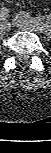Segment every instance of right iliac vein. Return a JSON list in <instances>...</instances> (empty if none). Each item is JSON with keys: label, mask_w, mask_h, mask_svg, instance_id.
<instances>
[{"label": "right iliac vein", "mask_w": 51, "mask_h": 153, "mask_svg": "<svg viewBox=\"0 0 51 153\" xmlns=\"http://www.w3.org/2000/svg\"><path fill=\"white\" fill-rule=\"evenodd\" d=\"M0 27H1V29H2L3 31H5V32L10 31L11 28H12L11 24H10L7 20L3 21V22L1 23V25H0Z\"/></svg>", "instance_id": "1"}]
</instances>
